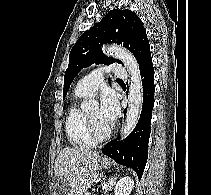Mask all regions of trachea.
I'll return each instance as SVG.
<instances>
[{
	"instance_id": "1",
	"label": "trachea",
	"mask_w": 211,
	"mask_h": 195,
	"mask_svg": "<svg viewBox=\"0 0 211 195\" xmlns=\"http://www.w3.org/2000/svg\"><path fill=\"white\" fill-rule=\"evenodd\" d=\"M117 82H122V80H120V79H117Z\"/></svg>"
}]
</instances>
